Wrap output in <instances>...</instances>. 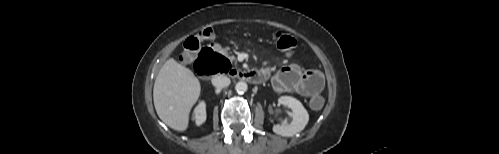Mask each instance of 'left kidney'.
<instances>
[{"instance_id": "5707ae66", "label": "left kidney", "mask_w": 499, "mask_h": 154, "mask_svg": "<svg viewBox=\"0 0 499 154\" xmlns=\"http://www.w3.org/2000/svg\"><path fill=\"white\" fill-rule=\"evenodd\" d=\"M278 104L291 109L292 121L289 124L282 123L273 126V132L285 137L301 132L309 121V114L302 103L293 97L281 96L278 99Z\"/></svg>"}]
</instances>
